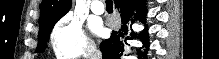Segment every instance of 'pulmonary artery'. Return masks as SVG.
<instances>
[{"mask_svg":"<svg viewBox=\"0 0 219 59\" xmlns=\"http://www.w3.org/2000/svg\"><path fill=\"white\" fill-rule=\"evenodd\" d=\"M90 7H91V11L95 14L100 15V14H103L105 12V6L101 0H94L91 3Z\"/></svg>","mask_w":219,"mask_h":59,"instance_id":"1","label":"pulmonary artery"}]
</instances>
